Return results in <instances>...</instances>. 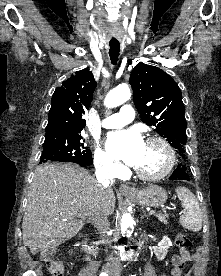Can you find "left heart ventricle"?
I'll return each mask as SVG.
<instances>
[{
	"label": "left heart ventricle",
	"mask_w": 221,
	"mask_h": 276,
	"mask_svg": "<svg viewBox=\"0 0 221 276\" xmlns=\"http://www.w3.org/2000/svg\"><path fill=\"white\" fill-rule=\"evenodd\" d=\"M166 162L165 151L158 143H145L143 155L136 168L146 173L160 171Z\"/></svg>",
	"instance_id": "b2bd125f"
}]
</instances>
